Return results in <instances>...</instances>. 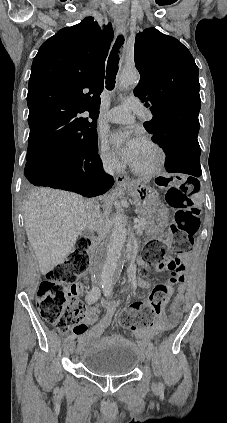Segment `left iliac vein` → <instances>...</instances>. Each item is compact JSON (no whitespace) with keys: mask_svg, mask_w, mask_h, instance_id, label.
<instances>
[{"mask_svg":"<svg viewBox=\"0 0 227 423\" xmlns=\"http://www.w3.org/2000/svg\"><path fill=\"white\" fill-rule=\"evenodd\" d=\"M146 356L149 360L153 359V349H151L150 347L147 348L146 350ZM152 386L154 389H157V384L155 382L152 383Z\"/></svg>","mask_w":227,"mask_h":423,"instance_id":"left-iliac-vein-1","label":"left iliac vein"}]
</instances>
